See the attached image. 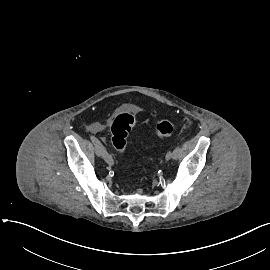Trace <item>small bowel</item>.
I'll return each instance as SVG.
<instances>
[{
	"instance_id": "1",
	"label": "small bowel",
	"mask_w": 270,
	"mask_h": 270,
	"mask_svg": "<svg viewBox=\"0 0 270 270\" xmlns=\"http://www.w3.org/2000/svg\"><path fill=\"white\" fill-rule=\"evenodd\" d=\"M91 130L95 133H101L104 131V126L99 123H94L90 126Z\"/></svg>"
}]
</instances>
